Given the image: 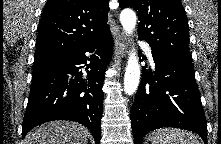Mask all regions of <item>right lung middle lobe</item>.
I'll return each instance as SVG.
<instances>
[{
  "instance_id": "right-lung-middle-lobe-1",
  "label": "right lung middle lobe",
  "mask_w": 221,
  "mask_h": 144,
  "mask_svg": "<svg viewBox=\"0 0 221 144\" xmlns=\"http://www.w3.org/2000/svg\"><path fill=\"white\" fill-rule=\"evenodd\" d=\"M61 55H54V54H40V55H34V64L33 69H36L38 67H41L43 65H46L53 60L57 59Z\"/></svg>"
}]
</instances>
